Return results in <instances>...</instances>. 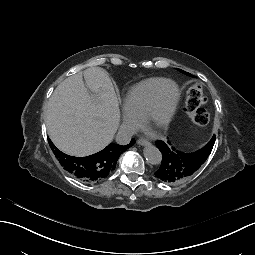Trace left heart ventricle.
Segmentation results:
<instances>
[{"instance_id":"1","label":"left heart ventricle","mask_w":255,"mask_h":255,"mask_svg":"<svg viewBox=\"0 0 255 255\" xmlns=\"http://www.w3.org/2000/svg\"><path fill=\"white\" fill-rule=\"evenodd\" d=\"M172 96H173V87L170 85H167L164 89L162 99H161V109L162 110L166 109L169 106V104L172 100ZM148 129L150 131H154L156 129V123L150 122L148 124Z\"/></svg>"}]
</instances>
